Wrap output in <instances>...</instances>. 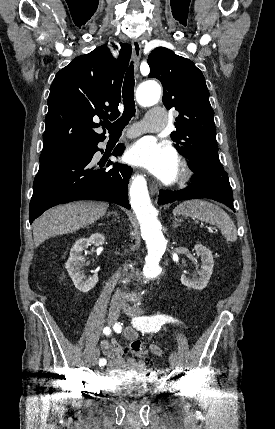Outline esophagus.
I'll return each mask as SVG.
<instances>
[{
	"mask_svg": "<svg viewBox=\"0 0 275 429\" xmlns=\"http://www.w3.org/2000/svg\"><path fill=\"white\" fill-rule=\"evenodd\" d=\"M132 49H133V57H134V68L137 71L138 66H139V62H140V58H141V44H140L139 40L135 39L132 41ZM149 188H150L151 194H155L158 192V186L155 182H152L149 185Z\"/></svg>",
	"mask_w": 275,
	"mask_h": 429,
	"instance_id": "34e87169",
	"label": "esophagus"
}]
</instances>
